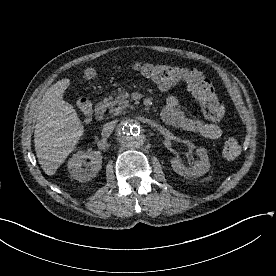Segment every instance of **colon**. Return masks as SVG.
<instances>
[{
	"label": "colon",
	"instance_id": "1",
	"mask_svg": "<svg viewBox=\"0 0 276 276\" xmlns=\"http://www.w3.org/2000/svg\"><path fill=\"white\" fill-rule=\"evenodd\" d=\"M134 69L163 88L185 83L200 103L205 117L211 122H220L225 115L222 101L217 96L212 82L200 71L194 68L177 67L164 64L137 62ZM93 70H87L85 77L92 78ZM79 112L89 118L92 113V104L87 99H82L77 104ZM241 151L238 141L228 138L223 145V156L226 159L236 158Z\"/></svg>",
	"mask_w": 276,
	"mask_h": 276
}]
</instances>
